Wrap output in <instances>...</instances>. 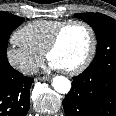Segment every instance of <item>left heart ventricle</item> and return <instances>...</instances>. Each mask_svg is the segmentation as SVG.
I'll return each instance as SVG.
<instances>
[{"instance_id": "b2bd125f", "label": "left heart ventricle", "mask_w": 116, "mask_h": 116, "mask_svg": "<svg viewBox=\"0 0 116 116\" xmlns=\"http://www.w3.org/2000/svg\"><path fill=\"white\" fill-rule=\"evenodd\" d=\"M90 46V35L80 25L68 27L61 36L57 48L49 55V60L59 64L62 70L79 65L86 57Z\"/></svg>"}]
</instances>
